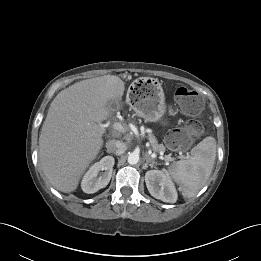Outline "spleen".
<instances>
[{
	"instance_id": "spleen-1",
	"label": "spleen",
	"mask_w": 261,
	"mask_h": 261,
	"mask_svg": "<svg viewBox=\"0 0 261 261\" xmlns=\"http://www.w3.org/2000/svg\"><path fill=\"white\" fill-rule=\"evenodd\" d=\"M216 157V141L206 137L191 150V156L175 162L168 176L178 185L184 198L195 196L210 177Z\"/></svg>"
}]
</instances>
